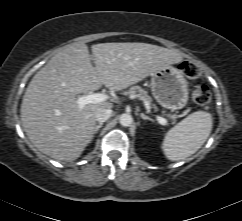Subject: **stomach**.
<instances>
[{"instance_id":"0dacf381","label":"stomach","mask_w":242,"mask_h":221,"mask_svg":"<svg viewBox=\"0 0 242 221\" xmlns=\"http://www.w3.org/2000/svg\"><path fill=\"white\" fill-rule=\"evenodd\" d=\"M150 86L153 97L164 108L181 109L188 102V82L183 72L171 65L152 73Z\"/></svg>"}]
</instances>
